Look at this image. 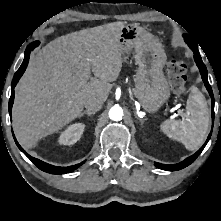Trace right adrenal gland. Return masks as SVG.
I'll use <instances>...</instances> for the list:
<instances>
[{
  "label": "right adrenal gland",
  "mask_w": 221,
  "mask_h": 221,
  "mask_svg": "<svg viewBox=\"0 0 221 221\" xmlns=\"http://www.w3.org/2000/svg\"><path fill=\"white\" fill-rule=\"evenodd\" d=\"M95 113L96 112H94V111L85 110L82 113H80L79 117H82L85 114L90 117L91 115H94Z\"/></svg>",
  "instance_id": "1"
}]
</instances>
